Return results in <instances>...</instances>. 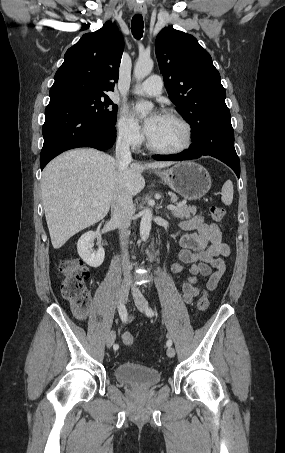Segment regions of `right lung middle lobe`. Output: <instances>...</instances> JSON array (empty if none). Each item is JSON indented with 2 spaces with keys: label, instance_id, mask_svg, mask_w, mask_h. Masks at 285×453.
Wrapping results in <instances>:
<instances>
[{
  "label": "right lung middle lobe",
  "instance_id": "1",
  "mask_svg": "<svg viewBox=\"0 0 285 453\" xmlns=\"http://www.w3.org/2000/svg\"><path fill=\"white\" fill-rule=\"evenodd\" d=\"M88 115L103 128H114L117 118V106L106 94L68 93L61 97Z\"/></svg>",
  "mask_w": 285,
  "mask_h": 453
}]
</instances>
